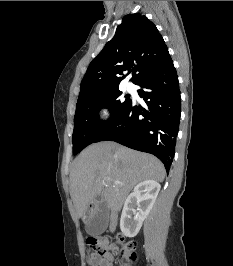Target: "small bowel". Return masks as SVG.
<instances>
[{
    "mask_svg": "<svg viewBox=\"0 0 233 266\" xmlns=\"http://www.w3.org/2000/svg\"><path fill=\"white\" fill-rule=\"evenodd\" d=\"M115 248L112 247V250ZM90 266H111L112 256L110 254L101 255L96 252H91L88 258Z\"/></svg>",
    "mask_w": 233,
    "mask_h": 266,
    "instance_id": "c3829d8e",
    "label": "small bowel"
}]
</instances>
